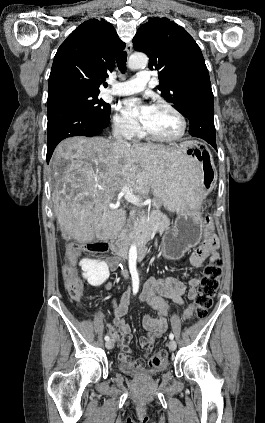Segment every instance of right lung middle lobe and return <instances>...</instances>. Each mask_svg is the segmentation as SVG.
<instances>
[{
	"instance_id": "right-lung-middle-lobe-1",
	"label": "right lung middle lobe",
	"mask_w": 265,
	"mask_h": 423,
	"mask_svg": "<svg viewBox=\"0 0 265 423\" xmlns=\"http://www.w3.org/2000/svg\"><path fill=\"white\" fill-rule=\"evenodd\" d=\"M99 92L71 90L48 97L47 107L68 103L81 106L91 114L109 122L110 105L98 98Z\"/></svg>"
}]
</instances>
